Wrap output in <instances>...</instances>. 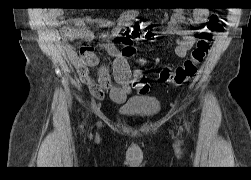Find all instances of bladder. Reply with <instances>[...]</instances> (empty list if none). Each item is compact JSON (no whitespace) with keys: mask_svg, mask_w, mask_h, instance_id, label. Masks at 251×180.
I'll use <instances>...</instances> for the list:
<instances>
[{"mask_svg":"<svg viewBox=\"0 0 251 180\" xmlns=\"http://www.w3.org/2000/svg\"><path fill=\"white\" fill-rule=\"evenodd\" d=\"M160 109L159 99L150 96L130 100L120 106L118 112L126 117L151 118L158 114Z\"/></svg>","mask_w":251,"mask_h":180,"instance_id":"obj_1","label":"bladder"}]
</instances>
